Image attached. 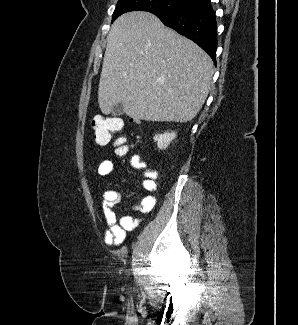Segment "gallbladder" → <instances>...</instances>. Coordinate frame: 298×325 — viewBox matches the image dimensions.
Here are the masks:
<instances>
[{
  "label": "gallbladder",
  "instance_id": "bac80fb5",
  "mask_svg": "<svg viewBox=\"0 0 298 325\" xmlns=\"http://www.w3.org/2000/svg\"><path fill=\"white\" fill-rule=\"evenodd\" d=\"M112 116H120V114H123V102H118V104H114L110 110Z\"/></svg>",
  "mask_w": 298,
  "mask_h": 325
}]
</instances>
